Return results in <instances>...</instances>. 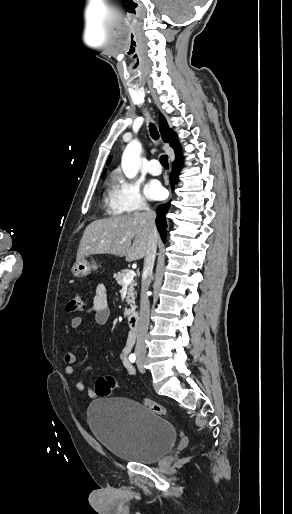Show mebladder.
Here are the masks:
<instances>
[{
    "label": "bladder",
    "mask_w": 292,
    "mask_h": 514,
    "mask_svg": "<svg viewBox=\"0 0 292 514\" xmlns=\"http://www.w3.org/2000/svg\"><path fill=\"white\" fill-rule=\"evenodd\" d=\"M87 422L98 442L123 461L155 462L174 447L178 436L169 420L128 398L92 401Z\"/></svg>",
    "instance_id": "31cf9c89"
}]
</instances>
